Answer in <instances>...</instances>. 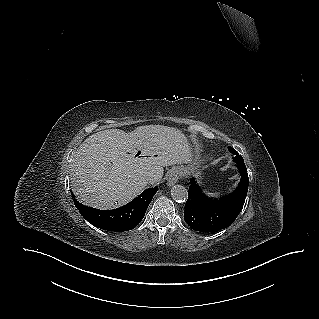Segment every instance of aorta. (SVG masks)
I'll return each instance as SVG.
<instances>
[{"mask_svg": "<svg viewBox=\"0 0 319 319\" xmlns=\"http://www.w3.org/2000/svg\"><path fill=\"white\" fill-rule=\"evenodd\" d=\"M172 197L177 202H185L188 198V191L182 185H175L171 190Z\"/></svg>", "mask_w": 319, "mask_h": 319, "instance_id": "1", "label": "aorta"}]
</instances>
